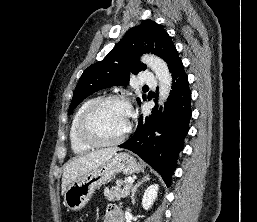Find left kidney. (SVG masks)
Instances as JSON below:
<instances>
[{
    "label": "left kidney",
    "instance_id": "5707ae66",
    "mask_svg": "<svg viewBox=\"0 0 257 222\" xmlns=\"http://www.w3.org/2000/svg\"><path fill=\"white\" fill-rule=\"evenodd\" d=\"M159 186L158 184L150 185L144 192L143 198H142V206L145 210H148L153 205L157 193H158Z\"/></svg>",
    "mask_w": 257,
    "mask_h": 222
}]
</instances>
